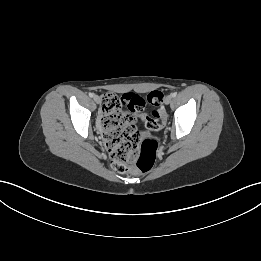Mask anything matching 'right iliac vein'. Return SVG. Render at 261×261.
Segmentation results:
<instances>
[{
    "instance_id": "63e3f726",
    "label": "right iliac vein",
    "mask_w": 261,
    "mask_h": 261,
    "mask_svg": "<svg viewBox=\"0 0 261 261\" xmlns=\"http://www.w3.org/2000/svg\"><path fill=\"white\" fill-rule=\"evenodd\" d=\"M93 99H94V101H95L97 104H99V103L101 102V99H100V97H99L98 95H95V96L93 97Z\"/></svg>"
}]
</instances>
